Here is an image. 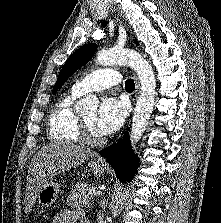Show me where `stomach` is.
<instances>
[{
  "instance_id": "1",
  "label": "stomach",
  "mask_w": 221,
  "mask_h": 223,
  "mask_svg": "<svg viewBox=\"0 0 221 223\" xmlns=\"http://www.w3.org/2000/svg\"><path fill=\"white\" fill-rule=\"evenodd\" d=\"M90 170L95 176H101L104 174L106 167L98 162H92L90 163ZM59 190L60 185L58 183L52 180L47 181L38 193L39 203L45 208L52 206L57 200Z\"/></svg>"
}]
</instances>
